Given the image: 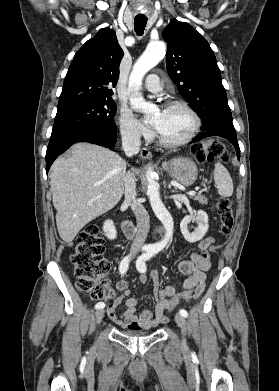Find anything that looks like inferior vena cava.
Segmentation results:
<instances>
[{
	"mask_svg": "<svg viewBox=\"0 0 279 391\" xmlns=\"http://www.w3.org/2000/svg\"><path fill=\"white\" fill-rule=\"evenodd\" d=\"M122 146L128 157L136 155L140 150V133L135 130H124L121 132ZM125 203L129 204L135 214L137 230L131 245V252L136 253L144 244L149 232V215L144 206L137 201L136 182L130 172L124 175Z\"/></svg>",
	"mask_w": 279,
	"mask_h": 391,
	"instance_id": "obj_1",
	"label": "inferior vena cava"
}]
</instances>
